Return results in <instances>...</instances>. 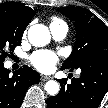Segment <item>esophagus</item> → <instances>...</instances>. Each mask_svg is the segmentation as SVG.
<instances>
[{"instance_id":"obj_1","label":"esophagus","mask_w":108,"mask_h":108,"mask_svg":"<svg viewBox=\"0 0 108 108\" xmlns=\"http://www.w3.org/2000/svg\"><path fill=\"white\" fill-rule=\"evenodd\" d=\"M50 79V77L49 76H41V81H47V80H49Z\"/></svg>"}]
</instances>
